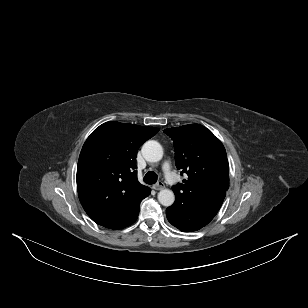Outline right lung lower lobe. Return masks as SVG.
<instances>
[{
  "mask_svg": "<svg viewBox=\"0 0 308 308\" xmlns=\"http://www.w3.org/2000/svg\"><path fill=\"white\" fill-rule=\"evenodd\" d=\"M138 214H139V209H138V212L133 216V218L130 220L129 224L127 226H129L130 224H132L138 217Z\"/></svg>",
  "mask_w": 308,
  "mask_h": 308,
  "instance_id": "1",
  "label": "right lung lower lobe"
}]
</instances>
